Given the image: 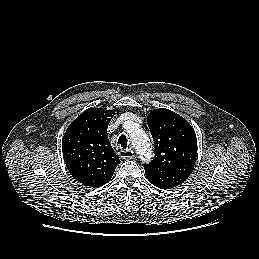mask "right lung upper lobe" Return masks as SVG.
<instances>
[{
  "label": "right lung upper lobe",
  "mask_w": 259,
  "mask_h": 259,
  "mask_svg": "<svg viewBox=\"0 0 259 259\" xmlns=\"http://www.w3.org/2000/svg\"><path fill=\"white\" fill-rule=\"evenodd\" d=\"M117 109L90 108L66 130L62 150L72 177L85 186L107 183L120 163L108 140L107 128Z\"/></svg>",
  "instance_id": "right-lung-upper-lobe-1"
}]
</instances>
